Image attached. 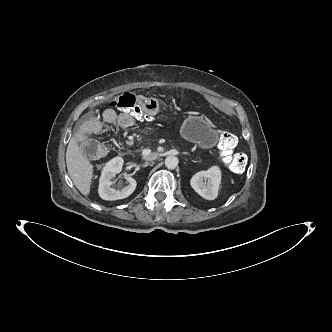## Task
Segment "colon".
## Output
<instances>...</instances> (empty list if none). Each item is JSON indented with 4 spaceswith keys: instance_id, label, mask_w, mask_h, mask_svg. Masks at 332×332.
<instances>
[{
    "instance_id": "colon-1",
    "label": "colon",
    "mask_w": 332,
    "mask_h": 332,
    "mask_svg": "<svg viewBox=\"0 0 332 332\" xmlns=\"http://www.w3.org/2000/svg\"><path fill=\"white\" fill-rule=\"evenodd\" d=\"M139 97H135L131 93H125L115 98L110 107L127 113L131 118H137L138 122L150 125L153 122V114L141 109L138 105ZM217 142L222 151V157L228 169L233 173H241L246 166V156L243 153L235 152L237 138L234 134L227 131H220L217 134ZM83 152L90 158L103 156L106 152L100 143L88 140L81 143Z\"/></svg>"
}]
</instances>
